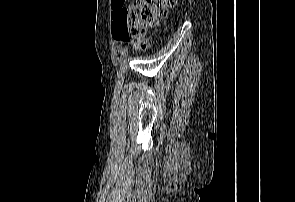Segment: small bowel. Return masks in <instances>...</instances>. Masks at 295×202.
<instances>
[{"instance_id": "obj_1", "label": "small bowel", "mask_w": 295, "mask_h": 202, "mask_svg": "<svg viewBox=\"0 0 295 202\" xmlns=\"http://www.w3.org/2000/svg\"><path fill=\"white\" fill-rule=\"evenodd\" d=\"M126 1L127 0H111V8L114 16L125 8Z\"/></svg>"}]
</instances>
